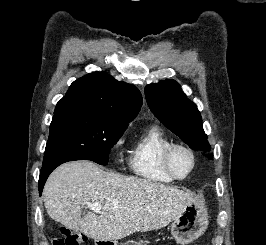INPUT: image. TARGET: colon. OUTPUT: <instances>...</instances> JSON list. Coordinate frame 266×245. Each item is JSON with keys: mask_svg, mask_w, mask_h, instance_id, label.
Returning <instances> with one entry per match:
<instances>
[{"mask_svg": "<svg viewBox=\"0 0 266 245\" xmlns=\"http://www.w3.org/2000/svg\"><path fill=\"white\" fill-rule=\"evenodd\" d=\"M63 237H58L52 245H83L86 241L83 235L71 232L67 228H62Z\"/></svg>", "mask_w": 266, "mask_h": 245, "instance_id": "colon-1", "label": "colon"}]
</instances>
